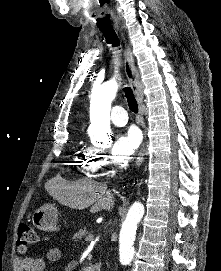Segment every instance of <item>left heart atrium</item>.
Wrapping results in <instances>:
<instances>
[{
    "instance_id": "1",
    "label": "left heart atrium",
    "mask_w": 221,
    "mask_h": 271,
    "mask_svg": "<svg viewBox=\"0 0 221 271\" xmlns=\"http://www.w3.org/2000/svg\"><path fill=\"white\" fill-rule=\"evenodd\" d=\"M119 142H112L113 157H132L141 142V133L137 129H129L119 136Z\"/></svg>"
}]
</instances>
